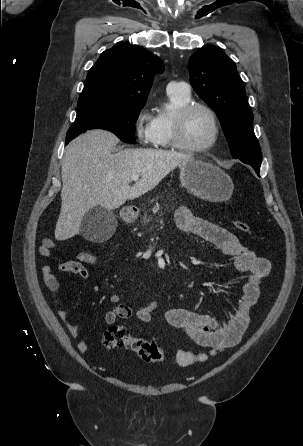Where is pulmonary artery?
I'll list each match as a JSON object with an SVG mask.
<instances>
[{"label":"pulmonary artery","mask_w":303,"mask_h":446,"mask_svg":"<svg viewBox=\"0 0 303 446\" xmlns=\"http://www.w3.org/2000/svg\"><path fill=\"white\" fill-rule=\"evenodd\" d=\"M169 90H181L184 92H189V86L184 82H170L167 86Z\"/></svg>","instance_id":"obj_1"}]
</instances>
